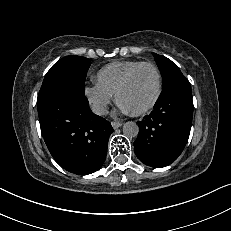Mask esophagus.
Wrapping results in <instances>:
<instances>
[{"mask_svg": "<svg viewBox=\"0 0 231 231\" xmlns=\"http://www.w3.org/2000/svg\"><path fill=\"white\" fill-rule=\"evenodd\" d=\"M111 125H112V127H113L114 129H117V128H119V127L122 126V123H121V122L113 121V122H111Z\"/></svg>", "mask_w": 231, "mask_h": 231, "instance_id": "esophagus-1", "label": "esophagus"}]
</instances>
